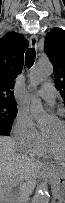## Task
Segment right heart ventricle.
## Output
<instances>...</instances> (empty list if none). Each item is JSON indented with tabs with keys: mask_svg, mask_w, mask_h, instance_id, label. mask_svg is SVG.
Masks as SVG:
<instances>
[{
	"mask_svg": "<svg viewBox=\"0 0 65 203\" xmlns=\"http://www.w3.org/2000/svg\"><path fill=\"white\" fill-rule=\"evenodd\" d=\"M32 157H52L54 158V156L50 153L46 140L40 144L37 148H35L34 150H32L29 153Z\"/></svg>",
	"mask_w": 65,
	"mask_h": 203,
	"instance_id": "right-heart-ventricle-1",
	"label": "right heart ventricle"
}]
</instances>
